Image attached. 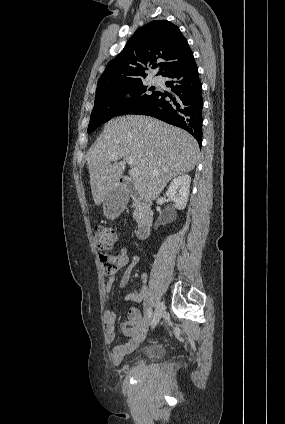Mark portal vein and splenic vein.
Segmentation results:
<instances>
[{"label":"portal vein and splenic vein","instance_id":"portal-vein-and-splenic-vein-1","mask_svg":"<svg viewBox=\"0 0 285 424\" xmlns=\"http://www.w3.org/2000/svg\"><path fill=\"white\" fill-rule=\"evenodd\" d=\"M118 156H119V154L114 153V154H112V155L109 157V160H110V161H115V160L118 158ZM128 163H129V165H131L130 176H131L133 179L138 178V176H139V174H140V171H139V169H138L137 167H132V166H133V164H134L133 159H132V158H128Z\"/></svg>","mask_w":285,"mask_h":424}]
</instances>
